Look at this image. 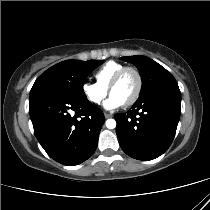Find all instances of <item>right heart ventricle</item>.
<instances>
[{"mask_svg": "<svg viewBox=\"0 0 210 210\" xmlns=\"http://www.w3.org/2000/svg\"><path fill=\"white\" fill-rule=\"evenodd\" d=\"M123 67H125L123 64L116 61L106 62L94 74L96 84L104 89H108L115 74Z\"/></svg>", "mask_w": 210, "mask_h": 210, "instance_id": "right-heart-ventricle-1", "label": "right heart ventricle"}]
</instances>
